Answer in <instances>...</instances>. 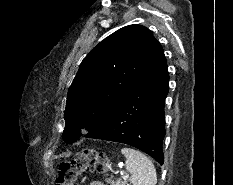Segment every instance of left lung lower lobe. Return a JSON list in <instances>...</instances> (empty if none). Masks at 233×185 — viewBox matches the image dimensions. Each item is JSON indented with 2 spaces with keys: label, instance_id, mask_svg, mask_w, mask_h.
Listing matches in <instances>:
<instances>
[{
  "label": "left lung lower lobe",
  "instance_id": "1",
  "mask_svg": "<svg viewBox=\"0 0 233 185\" xmlns=\"http://www.w3.org/2000/svg\"><path fill=\"white\" fill-rule=\"evenodd\" d=\"M168 82L164 56L125 93L110 117L85 137L129 144L163 164Z\"/></svg>",
  "mask_w": 233,
  "mask_h": 185
}]
</instances>
